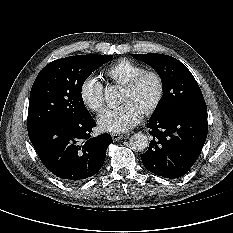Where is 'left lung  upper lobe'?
Masks as SVG:
<instances>
[{
	"label": "left lung upper lobe",
	"instance_id": "5c2ea615",
	"mask_svg": "<svg viewBox=\"0 0 233 233\" xmlns=\"http://www.w3.org/2000/svg\"><path fill=\"white\" fill-rule=\"evenodd\" d=\"M132 56L150 65L162 80L163 96L150 121L182 110L207 112L204 97L195 78L180 61L157 53Z\"/></svg>",
	"mask_w": 233,
	"mask_h": 233
}]
</instances>
